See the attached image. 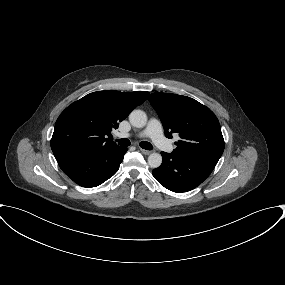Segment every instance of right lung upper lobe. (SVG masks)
<instances>
[{
  "label": "right lung upper lobe",
  "instance_id": "right-lung-upper-lobe-1",
  "mask_svg": "<svg viewBox=\"0 0 285 285\" xmlns=\"http://www.w3.org/2000/svg\"><path fill=\"white\" fill-rule=\"evenodd\" d=\"M149 92L97 91L68 106L58 117L51 139L54 154L68 150L95 153L117 149L105 135L117 129L131 111L141 105Z\"/></svg>",
  "mask_w": 285,
  "mask_h": 285
}]
</instances>
